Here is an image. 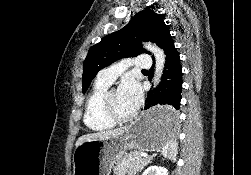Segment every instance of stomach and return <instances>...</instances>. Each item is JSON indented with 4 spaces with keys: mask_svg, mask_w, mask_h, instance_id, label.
I'll return each mask as SVG.
<instances>
[{
    "mask_svg": "<svg viewBox=\"0 0 251 175\" xmlns=\"http://www.w3.org/2000/svg\"><path fill=\"white\" fill-rule=\"evenodd\" d=\"M176 106L157 105L119 131L111 139H87L73 153V175H110L127 149H157L165 141H175L179 114Z\"/></svg>",
    "mask_w": 251,
    "mask_h": 175,
    "instance_id": "0dacf381",
    "label": "stomach"
}]
</instances>
